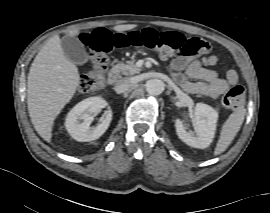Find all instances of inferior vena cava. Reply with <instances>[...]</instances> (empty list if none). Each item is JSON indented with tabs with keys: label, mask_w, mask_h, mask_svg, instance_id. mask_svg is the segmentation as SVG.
<instances>
[{
	"label": "inferior vena cava",
	"mask_w": 270,
	"mask_h": 213,
	"mask_svg": "<svg viewBox=\"0 0 270 213\" xmlns=\"http://www.w3.org/2000/svg\"><path fill=\"white\" fill-rule=\"evenodd\" d=\"M132 86H133V82L130 78H123V79H120L115 84L114 89L116 93L121 94L129 90Z\"/></svg>",
	"instance_id": "1"
}]
</instances>
